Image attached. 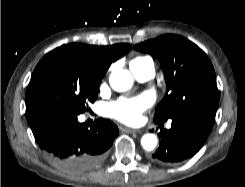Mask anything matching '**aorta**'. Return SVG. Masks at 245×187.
I'll return each mask as SVG.
<instances>
[{
  "label": "aorta",
  "instance_id": "obj_1",
  "mask_svg": "<svg viewBox=\"0 0 245 187\" xmlns=\"http://www.w3.org/2000/svg\"><path fill=\"white\" fill-rule=\"evenodd\" d=\"M109 83L115 91H127L133 85V76L128 70L117 69L110 74ZM141 145L145 150L152 151L157 145V137L154 134H145L141 138Z\"/></svg>",
  "mask_w": 245,
  "mask_h": 187
}]
</instances>
